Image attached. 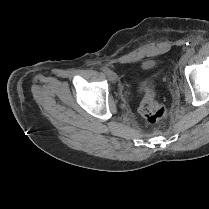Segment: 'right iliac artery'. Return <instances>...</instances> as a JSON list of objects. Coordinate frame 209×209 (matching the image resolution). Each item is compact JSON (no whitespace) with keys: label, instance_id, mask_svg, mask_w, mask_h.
Instances as JSON below:
<instances>
[{"label":"right iliac artery","instance_id":"1","mask_svg":"<svg viewBox=\"0 0 209 209\" xmlns=\"http://www.w3.org/2000/svg\"><path fill=\"white\" fill-rule=\"evenodd\" d=\"M102 71H103L104 73L108 74L110 70H109L107 67H103V68H102Z\"/></svg>","mask_w":209,"mask_h":209}]
</instances>
